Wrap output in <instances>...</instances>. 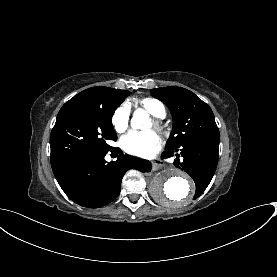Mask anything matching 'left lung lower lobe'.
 <instances>
[{"label":"left lung lower lobe","instance_id":"0a47b994","mask_svg":"<svg viewBox=\"0 0 277 277\" xmlns=\"http://www.w3.org/2000/svg\"><path fill=\"white\" fill-rule=\"evenodd\" d=\"M219 135H208L189 140L179 148L172 151H165L163 158L174 156V165L184 169L194 180L196 194L194 198L200 196L210 183L218 162ZM183 157L180 163L179 157ZM181 166V167H180Z\"/></svg>","mask_w":277,"mask_h":277}]
</instances>
